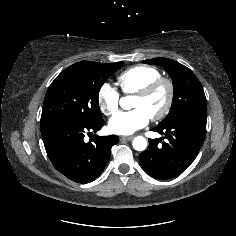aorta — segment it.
Instances as JSON below:
<instances>
[{
    "label": "aorta",
    "instance_id": "aorta-1",
    "mask_svg": "<svg viewBox=\"0 0 236 236\" xmlns=\"http://www.w3.org/2000/svg\"><path fill=\"white\" fill-rule=\"evenodd\" d=\"M127 97L121 99L120 103L123 106L127 101ZM133 148L137 151H144L147 148V140L143 136H137L132 142Z\"/></svg>",
    "mask_w": 236,
    "mask_h": 236
}]
</instances>
